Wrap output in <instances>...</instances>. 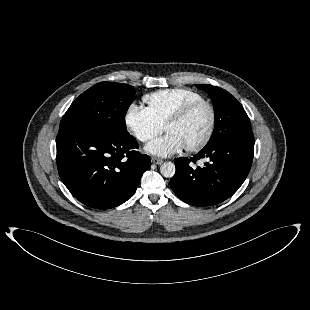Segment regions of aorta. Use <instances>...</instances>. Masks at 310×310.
<instances>
[{
  "mask_svg": "<svg viewBox=\"0 0 310 310\" xmlns=\"http://www.w3.org/2000/svg\"><path fill=\"white\" fill-rule=\"evenodd\" d=\"M176 168L172 162H164L160 167L161 174L166 178H172L175 174Z\"/></svg>",
  "mask_w": 310,
  "mask_h": 310,
  "instance_id": "1",
  "label": "aorta"
}]
</instances>
